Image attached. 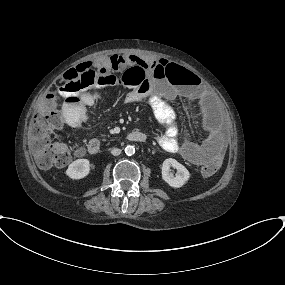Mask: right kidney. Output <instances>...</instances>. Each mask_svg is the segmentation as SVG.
<instances>
[{
  "label": "right kidney",
  "instance_id": "obj_1",
  "mask_svg": "<svg viewBox=\"0 0 285 285\" xmlns=\"http://www.w3.org/2000/svg\"><path fill=\"white\" fill-rule=\"evenodd\" d=\"M90 172V162L88 159H77L72 162L66 170L67 176L71 179H82Z\"/></svg>",
  "mask_w": 285,
  "mask_h": 285
}]
</instances>
